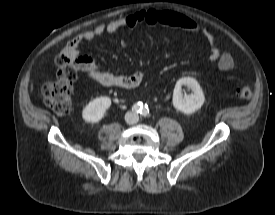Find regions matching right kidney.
Here are the masks:
<instances>
[{"label": "right kidney", "instance_id": "1", "mask_svg": "<svg viewBox=\"0 0 275 215\" xmlns=\"http://www.w3.org/2000/svg\"><path fill=\"white\" fill-rule=\"evenodd\" d=\"M111 106L109 97H98L90 101L83 109L82 117L86 122H99L105 114V111Z\"/></svg>", "mask_w": 275, "mask_h": 215}]
</instances>
